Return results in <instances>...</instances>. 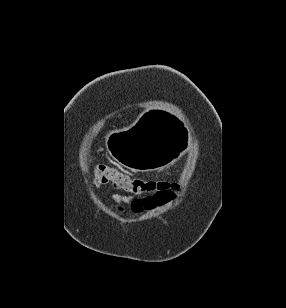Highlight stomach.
<instances>
[{"instance_id": "0dacf381", "label": "stomach", "mask_w": 286, "mask_h": 308, "mask_svg": "<svg viewBox=\"0 0 286 308\" xmlns=\"http://www.w3.org/2000/svg\"><path fill=\"white\" fill-rule=\"evenodd\" d=\"M145 118H129L131 130H107V149L116 164L140 173H157L174 163V153H187L192 142L179 137L187 132L184 118L178 112H155L145 108ZM110 129H123V122H110ZM116 137V138H115Z\"/></svg>"}]
</instances>
